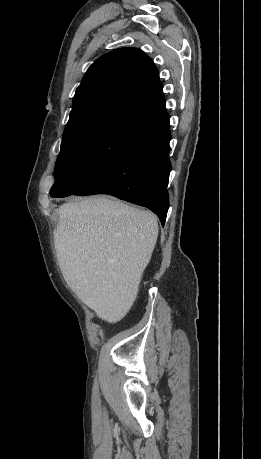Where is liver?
Masks as SVG:
<instances>
[{
    "instance_id": "1",
    "label": "liver",
    "mask_w": 261,
    "mask_h": 459,
    "mask_svg": "<svg viewBox=\"0 0 261 459\" xmlns=\"http://www.w3.org/2000/svg\"><path fill=\"white\" fill-rule=\"evenodd\" d=\"M157 237L158 223L151 212L97 196L59 207L54 247L76 295L112 323L136 298Z\"/></svg>"
}]
</instances>
